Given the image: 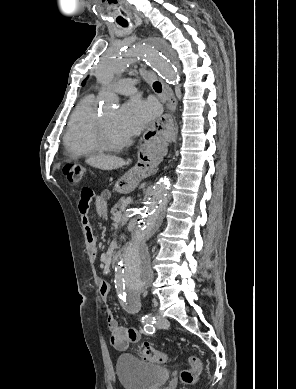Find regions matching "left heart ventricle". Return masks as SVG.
Wrapping results in <instances>:
<instances>
[{
  "label": "left heart ventricle",
  "instance_id": "obj_1",
  "mask_svg": "<svg viewBox=\"0 0 296 389\" xmlns=\"http://www.w3.org/2000/svg\"><path fill=\"white\" fill-rule=\"evenodd\" d=\"M102 118L105 122L106 132L110 140L120 141L127 138V136H125L118 127L117 111H112L107 114H104Z\"/></svg>",
  "mask_w": 296,
  "mask_h": 389
}]
</instances>
